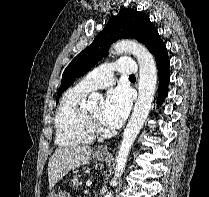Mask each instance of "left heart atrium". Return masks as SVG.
Segmentation results:
<instances>
[{
	"label": "left heart atrium",
	"instance_id": "1",
	"mask_svg": "<svg viewBox=\"0 0 209 197\" xmlns=\"http://www.w3.org/2000/svg\"><path fill=\"white\" fill-rule=\"evenodd\" d=\"M131 108V96L127 88L116 87L108 91L101 111L102 122L117 127L126 119Z\"/></svg>",
	"mask_w": 209,
	"mask_h": 197
}]
</instances>
